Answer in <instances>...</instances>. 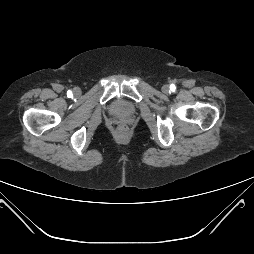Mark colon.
I'll list each match as a JSON object with an SVG mask.
<instances>
[{
  "mask_svg": "<svg viewBox=\"0 0 254 254\" xmlns=\"http://www.w3.org/2000/svg\"><path fill=\"white\" fill-rule=\"evenodd\" d=\"M122 129L125 130L126 129L125 126H122Z\"/></svg>",
  "mask_w": 254,
  "mask_h": 254,
  "instance_id": "5ec220e1",
  "label": "colon"
}]
</instances>
